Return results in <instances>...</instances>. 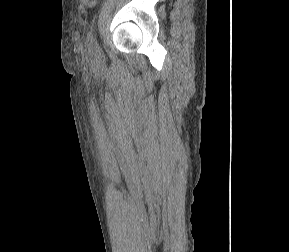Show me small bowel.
Returning a JSON list of instances; mask_svg holds the SVG:
<instances>
[{
    "instance_id": "small-bowel-1",
    "label": "small bowel",
    "mask_w": 289,
    "mask_h": 252,
    "mask_svg": "<svg viewBox=\"0 0 289 252\" xmlns=\"http://www.w3.org/2000/svg\"><path fill=\"white\" fill-rule=\"evenodd\" d=\"M86 7H93L96 4V0H81Z\"/></svg>"
}]
</instances>
